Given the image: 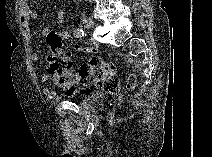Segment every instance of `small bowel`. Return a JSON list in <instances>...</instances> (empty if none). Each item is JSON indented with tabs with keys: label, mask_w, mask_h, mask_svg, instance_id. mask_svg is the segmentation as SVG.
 Listing matches in <instances>:
<instances>
[{
	"label": "small bowel",
	"mask_w": 212,
	"mask_h": 157,
	"mask_svg": "<svg viewBox=\"0 0 212 157\" xmlns=\"http://www.w3.org/2000/svg\"><path fill=\"white\" fill-rule=\"evenodd\" d=\"M38 16H39L38 12L33 9L31 2L26 1V0L20 2V4H19V20H20V24L23 28L24 35L28 41H30L32 39L31 23L33 21L37 20ZM64 17H65L64 10L59 9L56 13L57 23L61 24L64 21ZM50 32H51V29L49 27H43L41 30V34L43 37H47ZM75 50L79 53H91L92 52V50L88 46L79 44V43L75 44ZM38 59H39V56L36 53H34L31 56V60L33 62L38 61ZM97 61H99V59L91 58L88 63L82 64L81 69L86 68V67L96 63ZM48 81H49V75L47 73H43L40 76V83L42 85H45V84H47ZM43 93H44L45 97L48 99V101L51 103H55L59 99L58 94L47 86H45L43 88Z\"/></svg>",
	"instance_id": "obj_1"
}]
</instances>
